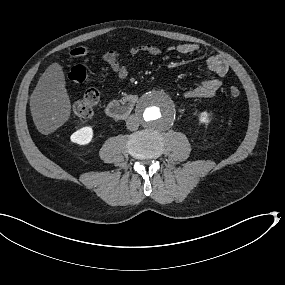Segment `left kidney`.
<instances>
[{
  "label": "left kidney",
  "instance_id": "left-kidney-1",
  "mask_svg": "<svg viewBox=\"0 0 285 285\" xmlns=\"http://www.w3.org/2000/svg\"><path fill=\"white\" fill-rule=\"evenodd\" d=\"M199 121H200L201 123L208 124V123H209V116H208V113H207V112H202L201 115H200Z\"/></svg>",
  "mask_w": 285,
  "mask_h": 285
}]
</instances>
